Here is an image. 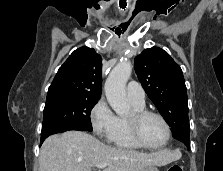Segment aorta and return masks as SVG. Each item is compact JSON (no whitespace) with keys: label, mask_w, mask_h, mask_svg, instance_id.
<instances>
[{"label":"aorta","mask_w":223,"mask_h":171,"mask_svg":"<svg viewBox=\"0 0 223 171\" xmlns=\"http://www.w3.org/2000/svg\"><path fill=\"white\" fill-rule=\"evenodd\" d=\"M132 65L129 61L119 62L110 72L105 82V94L109 105L118 115L129 112L126 102V83L131 76Z\"/></svg>","instance_id":"762f6f07"}]
</instances>
